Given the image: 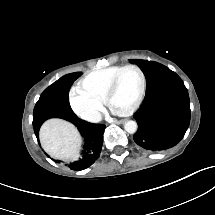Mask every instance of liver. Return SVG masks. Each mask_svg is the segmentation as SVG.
<instances>
[{
	"label": "liver",
	"mask_w": 215,
	"mask_h": 215,
	"mask_svg": "<svg viewBox=\"0 0 215 215\" xmlns=\"http://www.w3.org/2000/svg\"><path fill=\"white\" fill-rule=\"evenodd\" d=\"M39 141L42 149L56 160L76 161L83 151L84 139L78 128L58 117L48 118L42 123Z\"/></svg>",
	"instance_id": "6515ba94"
}]
</instances>
